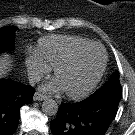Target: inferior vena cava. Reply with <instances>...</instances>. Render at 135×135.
Returning a JSON list of instances; mask_svg holds the SVG:
<instances>
[{"mask_svg": "<svg viewBox=\"0 0 135 135\" xmlns=\"http://www.w3.org/2000/svg\"><path fill=\"white\" fill-rule=\"evenodd\" d=\"M41 79V75L37 72H31L28 74V80H29V83L34 85L36 84L37 82H39Z\"/></svg>", "mask_w": 135, "mask_h": 135, "instance_id": "obj_1", "label": "inferior vena cava"}]
</instances>
